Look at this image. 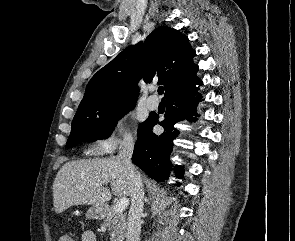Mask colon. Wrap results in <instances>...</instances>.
<instances>
[{
  "label": "colon",
  "instance_id": "5ec220e1",
  "mask_svg": "<svg viewBox=\"0 0 295 241\" xmlns=\"http://www.w3.org/2000/svg\"><path fill=\"white\" fill-rule=\"evenodd\" d=\"M63 237H64V241H73L72 238L67 234L63 235Z\"/></svg>",
  "mask_w": 295,
  "mask_h": 241
}]
</instances>
